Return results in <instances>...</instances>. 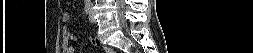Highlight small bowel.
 I'll list each match as a JSON object with an SVG mask.
<instances>
[{"mask_svg": "<svg viewBox=\"0 0 253 53\" xmlns=\"http://www.w3.org/2000/svg\"><path fill=\"white\" fill-rule=\"evenodd\" d=\"M62 19L64 22H67L69 15L67 13L63 14ZM74 42L75 38L70 34L67 27L64 26L62 29V46L65 53H72L74 51Z\"/></svg>", "mask_w": 253, "mask_h": 53, "instance_id": "obj_1", "label": "small bowel"}]
</instances>
